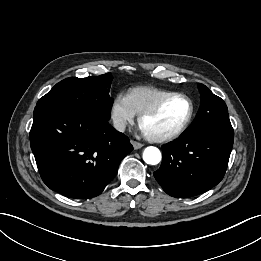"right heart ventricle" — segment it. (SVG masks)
Masks as SVG:
<instances>
[{"label":"right heart ventricle","instance_id":"obj_1","mask_svg":"<svg viewBox=\"0 0 261 261\" xmlns=\"http://www.w3.org/2000/svg\"><path fill=\"white\" fill-rule=\"evenodd\" d=\"M169 93L171 92L156 87L137 86L131 88L126 97L135 114H140Z\"/></svg>","mask_w":261,"mask_h":261}]
</instances>
